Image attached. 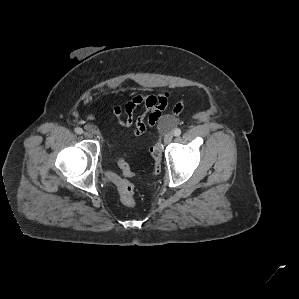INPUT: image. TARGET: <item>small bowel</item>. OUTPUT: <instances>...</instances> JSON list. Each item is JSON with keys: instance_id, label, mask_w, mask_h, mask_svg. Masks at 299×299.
I'll list each match as a JSON object with an SVG mask.
<instances>
[{"instance_id": "small-bowel-1", "label": "small bowel", "mask_w": 299, "mask_h": 299, "mask_svg": "<svg viewBox=\"0 0 299 299\" xmlns=\"http://www.w3.org/2000/svg\"><path fill=\"white\" fill-rule=\"evenodd\" d=\"M169 97V93H163L158 96L138 94L124 102L123 106L114 105L112 107V113L121 126H133L134 135L141 136L152 129L160 120L162 112L167 106ZM141 106L144 108V111L135 117L136 109ZM183 108V101H178L172 109L171 118L174 120L181 113ZM87 119L92 120L93 116L89 114ZM89 129L96 131L93 125H89Z\"/></svg>"}]
</instances>
